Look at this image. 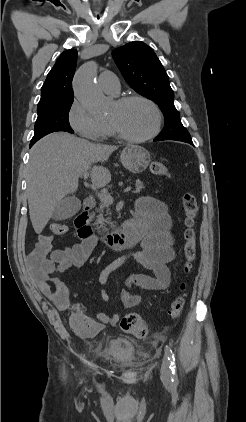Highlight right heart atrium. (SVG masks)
I'll use <instances>...</instances> for the list:
<instances>
[{
	"label": "right heart atrium",
	"mask_w": 246,
	"mask_h": 422,
	"mask_svg": "<svg viewBox=\"0 0 246 422\" xmlns=\"http://www.w3.org/2000/svg\"><path fill=\"white\" fill-rule=\"evenodd\" d=\"M71 128L82 138L90 141H100L109 132V125L93 117L83 104L74 100L68 112Z\"/></svg>",
	"instance_id": "d8ad5b80"
}]
</instances>
